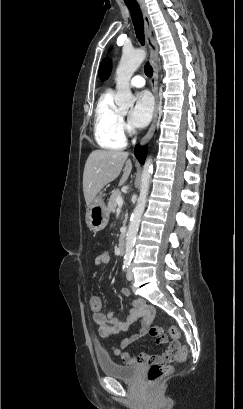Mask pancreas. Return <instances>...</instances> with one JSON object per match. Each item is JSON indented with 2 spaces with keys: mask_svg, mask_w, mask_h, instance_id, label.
<instances>
[{
  "mask_svg": "<svg viewBox=\"0 0 243 409\" xmlns=\"http://www.w3.org/2000/svg\"><path fill=\"white\" fill-rule=\"evenodd\" d=\"M121 196V193L117 190V191H114L113 193H112V195L110 196V199H109V201H108V211L109 212H112V213H115V211H116V206H117V202H116V199L118 198V197H120Z\"/></svg>",
  "mask_w": 243,
  "mask_h": 409,
  "instance_id": "obj_1",
  "label": "pancreas"
}]
</instances>
